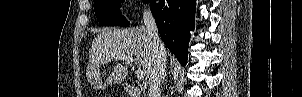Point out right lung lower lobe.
<instances>
[{
  "label": "right lung lower lobe",
  "instance_id": "98d812e1",
  "mask_svg": "<svg viewBox=\"0 0 302 97\" xmlns=\"http://www.w3.org/2000/svg\"><path fill=\"white\" fill-rule=\"evenodd\" d=\"M153 17L165 45L185 65L189 31L194 29L195 0H150Z\"/></svg>",
  "mask_w": 302,
  "mask_h": 97
}]
</instances>
